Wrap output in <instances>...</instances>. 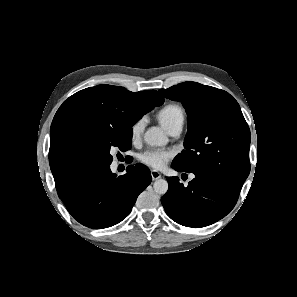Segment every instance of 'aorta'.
<instances>
[{
    "label": "aorta",
    "instance_id": "762f6f07",
    "mask_svg": "<svg viewBox=\"0 0 297 297\" xmlns=\"http://www.w3.org/2000/svg\"><path fill=\"white\" fill-rule=\"evenodd\" d=\"M144 141L149 146H164L168 143V137L159 127H151L144 134ZM154 190L158 194H165L168 190V182L158 179L153 184Z\"/></svg>",
    "mask_w": 297,
    "mask_h": 297
}]
</instances>
